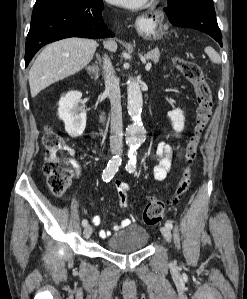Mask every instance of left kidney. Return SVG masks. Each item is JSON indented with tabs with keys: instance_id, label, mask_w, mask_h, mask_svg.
I'll use <instances>...</instances> for the list:
<instances>
[{
	"instance_id": "1",
	"label": "left kidney",
	"mask_w": 247,
	"mask_h": 299,
	"mask_svg": "<svg viewBox=\"0 0 247 299\" xmlns=\"http://www.w3.org/2000/svg\"><path fill=\"white\" fill-rule=\"evenodd\" d=\"M170 119H171V122H172L173 129L176 132L183 131L185 117H184L182 111H179V112L171 115Z\"/></svg>"
}]
</instances>
